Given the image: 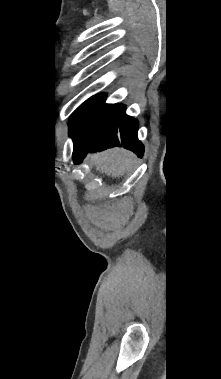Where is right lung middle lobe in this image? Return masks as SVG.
Returning <instances> with one entry per match:
<instances>
[{
    "instance_id": "right-lung-middle-lobe-1",
    "label": "right lung middle lobe",
    "mask_w": 221,
    "mask_h": 379,
    "mask_svg": "<svg viewBox=\"0 0 221 379\" xmlns=\"http://www.w3.org/2000/svg\"><path fill=\"white\" fill-rule=\"evenodd\" d=\"M105 95L84 102L70 118L69 132L74 143L94 142L115 116L118 105L105 104Z\"/></svg>"
}]
</instances>
